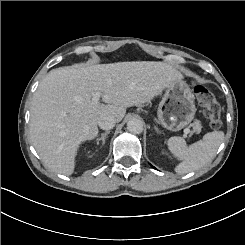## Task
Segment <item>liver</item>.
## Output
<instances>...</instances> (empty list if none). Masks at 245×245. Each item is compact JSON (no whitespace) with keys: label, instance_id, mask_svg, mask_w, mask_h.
I'll use <instances>...</instances> for the list:
<instances>
[{"label":"liver","instance_id":"6515ba94","mask_svg":"<svg viewBox=\"0 0 245 245\" xmlns=\"http://www.w3.org/2000/svg\"><path fill=\"white\" fill-rule=\"evenodd\" d=\"M182 75L163 62L73 65L51 70L34 93L30 135L44 165L69 176L79 144L98 135V119L120 122L126 108L151 101ZM100 93L106 105L93 103Z\"/></svg>","mask_w":245,"mask_h":245}]
</instances>
